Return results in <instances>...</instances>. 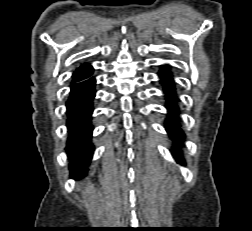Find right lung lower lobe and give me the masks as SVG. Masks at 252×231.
<instances>
[{
	"label": "right lung lower lobe",
	"instance_id": "obj_1",
	"mask_svg": "<svg viewBox=\"0 0 252 231\" xmlns=\"http://www.w3.org/2000/svg\"><path fill=\"white\" fill-rule=\"evenodd\" d=\"M95 83L96 80L92 77L72 84L66 103L69 132L66 151L70 159L71 178L81 179L86 175L94 152L91 144V115Z\"/></svg>",
	"mask_w": 252,
	"mask_h": 231
}]
</instances>
